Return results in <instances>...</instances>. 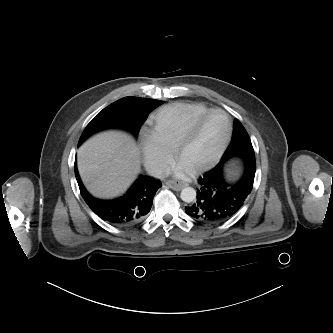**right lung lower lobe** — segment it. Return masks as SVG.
Segmentation results:
<instances>
[{
    "label": "right lung lower lobe",
    "mask_w": 333,
    "mask_h": 333,
    "mask_svg": "<svg viewBox=\"0 0 333 333\" xmlns=\"http://www.w3.org/2000/svg\"><path fill=\"white\" fill-rule=\"evenodd\" d=\"M75 175L80 193L87 205L103 220L117 226H129L140 222L152 207L153 197L162 186L159 180L140 175L124 196L113 200H100L84 188L75 161Z\"/></svg>",
    "instance_id": "1"
}]
</instances>
